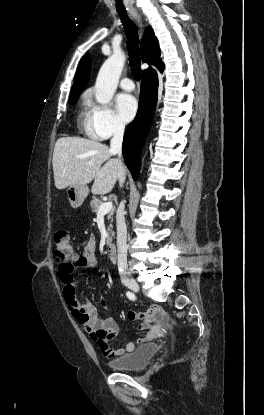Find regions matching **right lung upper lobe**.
<instances>
[{"mask_svg":"<svg viewBox=\"0 0 264 415\" xmlns=\"http://www.w3.org/2000/svg\"><path fill=\"white\" fill-rule=\"evenodd\" d=\"M142 48V60L147 64H154L161 72L164 69V65L160 59V48L158 40L154 35L153 29L149 26L145 30V34L141 43ZM91 69V60L88 54L84 55L79 63L78 69L75 74L74 84L71 89V96L79 95L82 89L85 87ZM157 74L151 67L143 71V75Z\"/></svg>","mask_w":264,"mask_h":415,"instance_id":"obj_1","label":"right lung upper lobe"}]
</instances>
